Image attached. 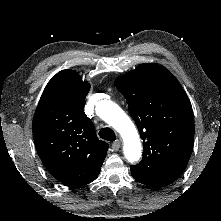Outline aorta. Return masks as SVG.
<instances>
[{
  "label": "aorta",
  "mask_w": 221,
  "mask_h": 221,
  "mask_svg": "<svg viewBox=\"0 0 221 221\" xmlns=\"http://www.w3.org/2000/svg\"><path fill=\"white\" fill-rule=\"evenodd\" d=\"M98 116L112 126L124 140V155L130 162H136L142 154L138 132L127 114L114 102L102 100L96 106Z\"/></svg>",
  "instance_id": "aorta-1"
}]
</instances>
